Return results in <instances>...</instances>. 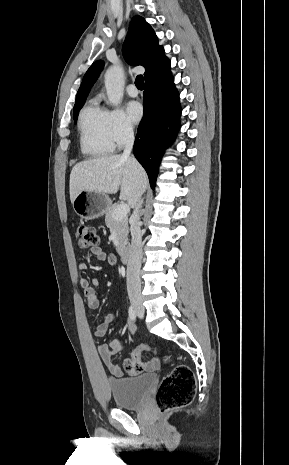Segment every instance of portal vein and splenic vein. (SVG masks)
<instances>
[{
	"label": "portal vein and splenic vein",
	"instance_id": "obj_1",
	"mask_svg": "<svg viewBox=\"0 0 289 465\" xmlns=\"http://www.w3.org/2000/svg\"><path fill=\"white\" fill-rule=\"evenodd\" d=\"M130 211V207L128 204L122 203L120 204L113 213V218L115 220H121L127 216L128 212Z\"/></svg>",
	"mask_w": 289,
	"mask_h": 465
}]
</instances>
